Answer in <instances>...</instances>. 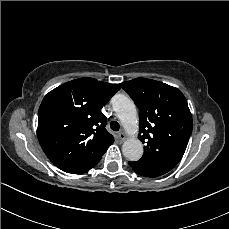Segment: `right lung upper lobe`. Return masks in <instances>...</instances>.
I'll list each match as a JSON object with an SVG mask.
<instances>
[{"label":"right lung upper lobe","mask_w":229,"mask_h":229,"mask_svg":"<svg viewBox=\"0 0 229 229\" xmlns=\"http://www.w3.org/2000/svg\"><path fill=\"white\" fill-rule=\"evenodd\" d=\"M119 85L79 78L50 91L38 116L39 143L49 160L67 173L87 172L114 138L105 129L102 107Z\"/></svg>","instance_id":"obj_1"}]
</instances>
